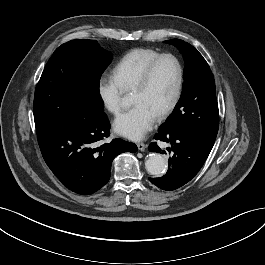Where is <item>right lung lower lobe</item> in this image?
Returning <instances> with one entry per match:
<instances>
[{
    "instance_id": "1",
    "label": "right lung lower lobe",
    "mask_w": 265,
    "mask_h": 265,
    "mask_svg": "<svg viewBox=\"0 0 265 265\" xmlns=\"http://www.w3.org/2000/svg\"><path fill=\"white\" fill-rule=\"evenodd\" d=\"M109 129L103 111L87 109L38 134L45 162L69 190L81 195L96 192L108 182L113 159L137 151L135 144L122 139L100 145Z\"/></svg>"
}]
</instances>
